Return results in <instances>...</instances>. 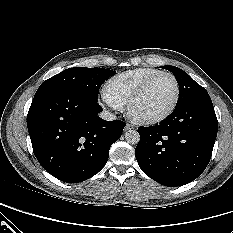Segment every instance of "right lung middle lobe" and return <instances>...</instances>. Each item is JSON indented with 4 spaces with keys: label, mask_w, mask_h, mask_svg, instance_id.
Here are the masks:
<instances>
[{
    "label": "right lung middle lobe",
    "mask_w": 233,
    "mask_h": 233,
    "mask_svg": "<svg viewBox=\"0 0 233 233\" xmlns=\"http://www.w3.org/2000/svg\"><path fill=\"white\" fill-rule=\"evenodd\" d=\"M115 71L103 68L73 67L47 79L38 88L33 101L58 89H69L97 100L103 82Z\"/></svg>",
    "instance_id": "1"
}]
</instances>
